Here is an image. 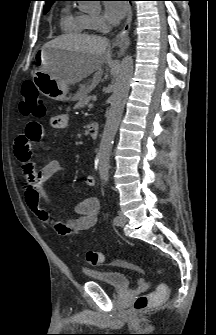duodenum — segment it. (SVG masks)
<instances>
[{"mask_svg": "<svg viewBox=\"0 0 216 335\" xmlns=\"http://www.w3.org/2000/svg\"><path fill=\"white\" fill-rule=\"evenodd\" d=\"M88 132L90 137H92L93 139L97 138L98 136V125L96 123H92L89 125L88 127Z\"/></svg>", "mask_w": 216, "mask_h": 335, "instance_id": "duodenum-1", "label": "duodenum"}]
</instances>
